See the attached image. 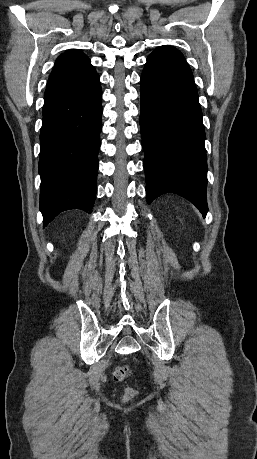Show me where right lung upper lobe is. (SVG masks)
<instances>
[{"mask_svg": "<svg viewBox=\"0 0 257 459\" xmlns=\"http://www.w3.org/2000/svg\"><path fill=\"white\" fill-rule=\"evenodd\" d=\"M96 73L90 59L81 51L71 49L60 55L48 79L47 88L75 83Z\"/></svg>", "mask_w": 257, "mask_h": 459, "instance_id": "1", "label": "right lung upper lobe"}]
</instances>
